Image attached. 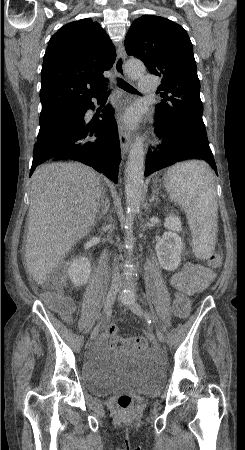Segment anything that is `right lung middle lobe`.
<instances>
[{"instance_id":"obj_1","label":"right lung middle lobe","mask_w":245,"mask_h":450,"mask_svg":"<svg viewBox=\"0 0 245 450\" xmlns=\"http://www.w3.org/2000/svg\"><path fill=\"white\" fill-rule=\"evenodd\" d=\"M77 107H70V108H59V109H53V110H47V111H41L40 114V130L38 134V140L45 137L49 133V129L54 126L55 121L75 110Z\"/></svg>"}]
</instances>
